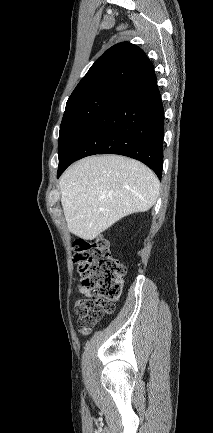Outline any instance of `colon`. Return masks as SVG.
Listing matches in <instances>:
<instances>
[{
    "mask_svg": "<svg viewBox=\"0 0 213 433\" xmlns=\"http://www.w3.org/2000/svg\"><path fill=\"white\" fill-rule=\"evenodd\" d=\"M73 247L82 285L95 296L94 300L84 302L77 308L79 323L89 328L113 312L114 303L122 294L126 269L112 255L109 242L103 236L92 241L77 239Z\"/></svg>",
    "mask_w": 213,
    "mask_h": 433,
    "instance_id": "5ec220e1",
    "label": "colon"
}]
</instances>
